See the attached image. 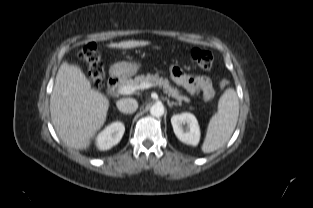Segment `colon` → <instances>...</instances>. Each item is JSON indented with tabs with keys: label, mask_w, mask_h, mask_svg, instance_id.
<instances>
[{
	"label": "colon",
	"mask_w": 313,
	"mask_h": 208,
	"mask_svg": "<svg viewBox=\"0 0 313 208\" xmlns=\"http://www.w3.org/2000/svg\"><path fill=\"white\" fill-rule=\"evenodd\" d=\"M192 60L202 69H210L213 63L212 53L203 48H193L190 51ZM79 57L83 59L89 69V75L93 85L96 88L102 87L105 78L104 65L97 46L94 43H89L80 51ZM229 84L228 78L220 76L218 85L223 88Z\"/></svg>",
	"instance_id": "5ec220e1"
}]
</instances>
